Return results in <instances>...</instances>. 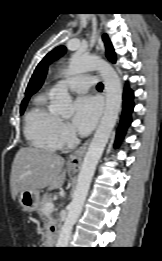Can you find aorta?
Instances as JSON below:
<instances>
[{
  "label": "aorta",
  "mask_w": 162,
  "mask_h": 261,
  "mask_svg": "<svg viewBox=\"0 0 162 261\" xmlns=\"http://www.w3.org/2000/svg\"><path fill=\"white\" fill-rule=\"evenodd\" d=\"M91 70L99 71L104 81L106 93L105 111L84 157L73 200L68 207L67 218L57 240V248H66L68 245L73 225L81 213L96 166L108 143L121 110V80L115 69L108 62L96 56H82L75 53L70 59L65 75L73 76ZM54 92L55 95L50 109L61 115H71L73 113L70 110L72 99L67 88L58 86L54 89Z\"/></svg>",
  "instance_id": "762f6f07"
}]
</instances>
